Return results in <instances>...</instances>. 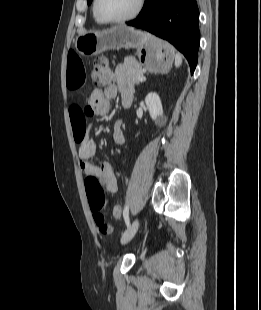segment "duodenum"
I'll list each match as a JSON object with an SVG mask.
<instances>
[{"label": "duodenum", "instance_id": "1", "mask_svg": "<svg viewBox=\"0 0 261 310\" xmlns=\"http://www.w3.org/2000/svg\"><path fill=\"white\" fill-rule=\"evenodd\" d=\"M131 99H128V98H126V99H124L123 100V105L125 106V107H129L130 105H131Z\"/></svg>", "mask_w": 261, "mask_h": 310}]
</instances>
